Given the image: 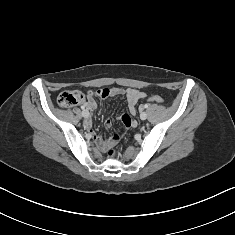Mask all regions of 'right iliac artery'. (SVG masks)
Segmentation results:
<instances>
[{
	"label": "right iliac artery",
	"instance_id": "obj_1",
	"mask_svg": "<svg viewBox=\"0 0 235 235\" xmlns=\"http://www.w3.org/2000/svg\"><path fill=\"white\" fill-rule=\"evenodd\" d=\"M81 109L83 110V112L82 113H85V107L84 106H81ZM86 112H88V111H86ZM89 113V112H88Z\"/></svg>",
	"mask_w": 235,
	"mask_h": 235
}]
</instances>
